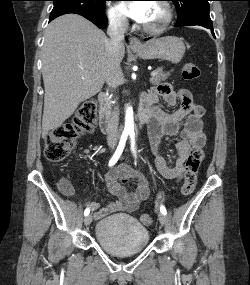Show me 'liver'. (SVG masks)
<instances>
[{
  "instance_id": "1",
  "label": "liver",
  "mask_w": 250,
  "mask_h": 285,
  "mask_svg": "<svg viewBox=\"0 0 250 285\" xmlns=\"http://www.w3.org/2000/svg\"><path fill=\"white\" fill-rule=\"evenodd\" d=\"M108 40L103 31L77 14L63 15L48 25L42 48L43 138L60 127L81 102L100 92ZM124 54L123 44L121 60Z\"/></svg>"
}]
</instances>
